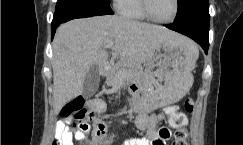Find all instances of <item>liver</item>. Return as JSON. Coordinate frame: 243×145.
Here are the masks:
<instances>
[{
  "label": "liver",
  "instance_id": "liver-1",
  "mask_svg": "<svg viewBox=\"0 0 243 145\" xmlns=\"http://www.w3.org/2000/svg\"><path fill=\"white\" fill-rule=\"evenodd\" d=\"M122 60L140 65L148 61L162 43L182 47L190 40L165 27L130 20L117 15L75 19L62 24L53 41L54 111L83 92V82L92 65L107 61L105 45Z\"/></svg>",
  "mask_w": 243,
  "mask_h": 145
}]
</instances>
